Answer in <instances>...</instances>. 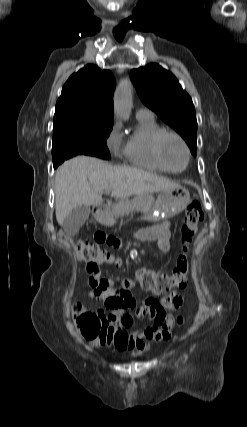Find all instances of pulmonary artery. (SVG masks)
Instances as JSON below:
<instances>
[{
    "instance_id": "e3ab8cb5",
    "label": "pulmonary artery",
    "mask_w": 247,
    "mask_h": 427,
    "mask_svg": "<svg viewBox=\"0 0 247 427\" xmlns=\"http://www.w3.org/2000/svg\"><path fill=\"white\" fill-rule=\"evenodd\" d=\"M137 117L139 116H149L152 115V112L147 108H139L136 113Z\"/></svg>"
}]
</instances>
